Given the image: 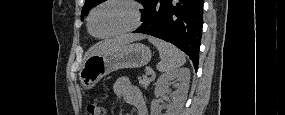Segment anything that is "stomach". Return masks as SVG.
Instances as JSON below:
<instances>
[{
  "instance_id": "stomach-1",
  "label": "stomach",
  "mask_w": 285,
  "mask_h": 115,
  "mask_svg": "<svg viewBox=\"0 0 285 115\" xmlns=\"http://www.w3.org/2000/svg\"><path fill=\"white\" fill-rule=\"evenodd\" d=\"M151 55V50L141 43L127 44L111 53L91 55L81 67L80 82L85 89H92L113 71L147 65Z\"/></svg>"
}]
</instances>
